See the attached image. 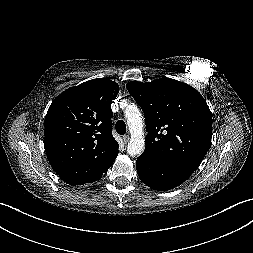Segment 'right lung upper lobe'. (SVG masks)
I'll use <instances>...</instances> for the list:
<instances>
[{
  "mask_svg": "<svg viewBox=\"0 0 253 253\" xmlns=\"http://www.w3.org/2000/svg\"><path fill=\"white\" fill-rule=\"evenodd\" d=\"M117 83L93 79L61 93L44 121V147L59 177L70 185L99 180L118 155L111 103Z\"/></svg>",
  "mask_w": 253,
  "mask_h": 253,
  "instance_id": "1",
  "label": "right lung upper lobe"
}]
</instances>
